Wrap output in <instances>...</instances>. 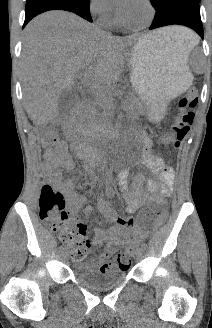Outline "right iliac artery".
Instances as JSON below:
<instances>
[{
    "label": "right iliac artery",
    "mask_w": 212,
    "mask_h": 328,
    "mask_svg": "<svg viewBox=\"0 0 212 328\" xmlns=\"http://www.w3.org/2000/svg\"><path fill=\"white\" fill-rule=\"evenodd\" d=\"M59 250H60V252H64L65 248H64L63 246H61V247L59 248Z\"/></svg>",
    "instance_id": "right-iliac-artery-1"
}]
</instances>
